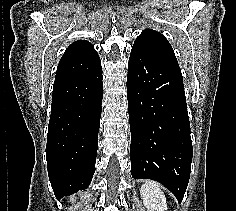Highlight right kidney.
Wrapping results in <instances>:
<instances>
[{"mask_svg": "<svg viewBox=\"0 0 236 211\" xmlns=\"http://www.w3.org/2000/svg\"><path fill=\"white\" fill-rule=\"evenodd\" d=\"M71 200L73 201V200H74V198H71V199H70V201H71Z\"/></svg>", "mask_w": 236, "mask_h": 211, "instance_id": "ca27d5eb", "label": "right kidney"}]
</instances>
